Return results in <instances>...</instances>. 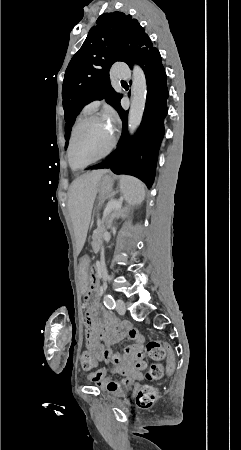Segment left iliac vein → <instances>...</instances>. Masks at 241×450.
<instances>
[{"instance_id": "1", "label": "left iliac vein", "mask_w": 241, "mask_h": 450, "mask_svg": "<svg viewBox=\"0 0 241 450\" xmlns=\"http://www.w3.org/2000/svg\"><path fill=\"white\" fill-rule=\"evenodd\" d=\"M116 310L121 315H123L125 313L126 306H125L124 301L122 299H118L117 300Z\"/></svg>"}]
</instances>
